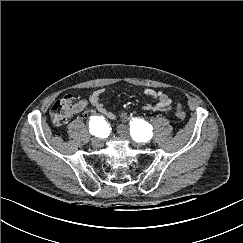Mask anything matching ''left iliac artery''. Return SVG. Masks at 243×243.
<instances>
[{
	"label": "left iliac artery",
	"mask_w": 243,
	"mask_h": 243,
	"mask_svg": "<svg viewBox=\"0 0 243 243\" xmlns=\"http://www.w3.org/2000/svg\"><path fill=\"white\" fill-rule=\"evenodd\" d=\"M143 122H144L143 120H141V119L138 120L137 118H136V120L133 119V121L131 122L130 133H131L132 138L134 140H136V141H143V140H145V139H142V136H146V135L149 134L148 130L146 132V131H143L139 127V125H144ZM151 136H152V133H151Z\"/></svg>",
	"instance_id": "obj_1"
}]
</instances>
